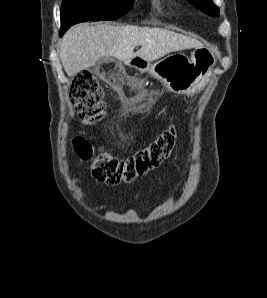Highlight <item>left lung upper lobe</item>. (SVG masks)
I'll use <instances>...</instances> for the list:
<instances>
[{
    "label": "left lung upper lobe",
    "instance_id": "1",
    "mask_svg": "<svg viewBox=\"0 0 267 298\" xmlns=\"http://www.w3.org/2000/svg\"><path fill=\"white\" fill-rule=\"evenodd\" d=\"M189 1L196 7L202 9L204 12L212 16H217L219 14V10L212 0H189Z\"/></svg>",
    "mask_w": 267,
    "mask_h": 298
}]
</instances>
